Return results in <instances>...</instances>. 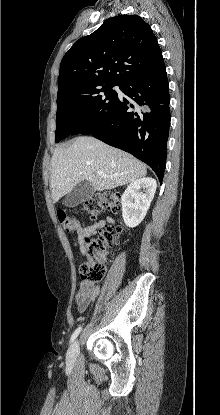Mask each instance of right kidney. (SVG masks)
<instances>
[{"label": "right kidney", "mask_w": 220, "mask_h": 415, "mask_svg": "<svg viewBox=\"0 0 220 415\" xmlns=\"http://www.w3.org/2000/svg\"><path fill=\"white\" fill-rule=\"evenodd\" d=\"M156 188L157 183L153 178L137 179L127 186L121 197L122 217L127 227L134 228L144 219Z\"/></svg>", "instance_id": "right-kidney-1"}]
</instances>
